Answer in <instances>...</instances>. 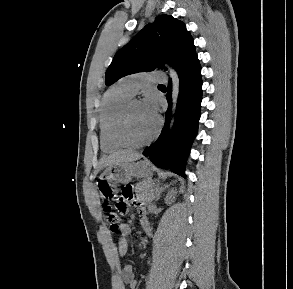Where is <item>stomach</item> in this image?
Listing matches in <instances>:
<instances>
[{
    "label": "stomach",
    "mask_w": 293,
    "mask_h": 289,
    "mask_svg": "<svg viewBox=\"0 0 293 289\" xmlns=\"http://www.w3.org/2000/svg\"><path fill=\"white\" fill-rule=\"evenodd\" d=\"M153 166L148 161L116 163L107 168L96 182L100 197L113 200L118 192L117 185L131 181L132 177L150 178Z\"/></svg>",
    "instance_id": "obj_1"
}]
</instances>
